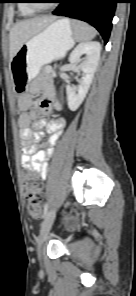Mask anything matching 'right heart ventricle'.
<instances>
[{"label":"right heart ventricle","mask_w":136,"mask_h":296,"mask_svg":"<svg viewBox=\"0 0 136 296\" xmlns=\"http://www.w3.org/2000/svg\"><path fill=\"white\" fill-rule=\"evenodd\" d=\"M22 3L19 6V10L23 16H31L35 14V9L31 8L27 2V0H22Z\"/></svg>","instance_id":"obj_1"}]
</instances>
